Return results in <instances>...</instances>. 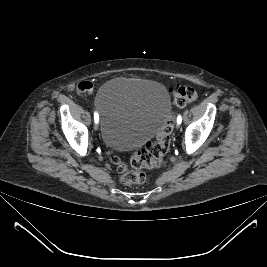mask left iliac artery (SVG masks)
<instances>
[{"label":"left iliac artery","mask_w":267,"mask_h":267,"mask_svg":"<svg viewBox=\"0 0 267 267\" xmlns=\"http://www.w3.org/2000/svg\"><path fill=\"white\" fill-rule=\"evenodd\" d=\"M181 121H182V118H181V116L179 115L178 117H177V123H181Z\"/></svg>","instance_id":"obj_1"}]
</instances>
